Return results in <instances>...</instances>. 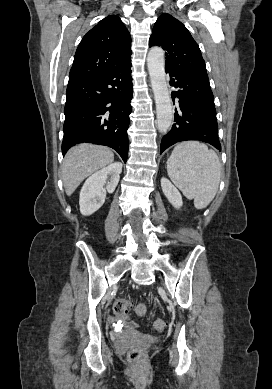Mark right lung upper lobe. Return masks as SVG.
Listing matches in <instances>:
<instances>
[{
    "instance_id": "1",
    "label": "right lung upper lobe",
    "mask_w": 272,
    "mask_h": 389,
    "mask_svg": "<svg viewBox=\"0 0 272 389\" xmlns=\"http://www.w3.org/2000/svg\"><path fill=\"white\" fill-rule=\"evenodd\" d=\"M131 36L117 16H107L81 40L69 79L104 72L131 59Z\"/></svg>"
}]
</instances>
